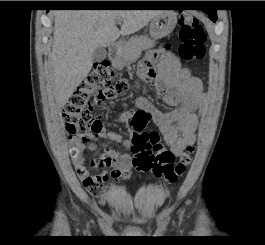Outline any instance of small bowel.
I'll return each mask as SVG.
<instances>
[{
  "label": "small bowel",
  "instance_id": "small-bowel-1",
  "mask_svg": "<svg viewBox=\"0 0 265 245\" xmlns=\"http://www.w3.org/2000/svg\"><path fill=\"white\" fill-rule=\"evenodd\" d=\"M156 67V77L150 87L161 97L163 102L175 109L167 114L156 109L147 99L140 97L136 105L143 110L151 122L156 125L164 135L171 152L179 157L188 146L196 141L198 118L196 111L205 100L204 85L200 78L191 74L183 67L180 60L173 53L157 50L148 52L141 60V64ZM132 112L126 111L120 115V120L132 132L129 119ZM98 134L113 142L122 143L126 149L132 146L131 140L123 139L116 132H106L102 127ZM84 152L94 151L96 145L86 142L81 145ZM76 172L83 188L93 196L100 195V186L109 181L117 183L131 175L132 158L129 153H120L117 150H107L100 157L85 162L81 153L75 158ZM110 168V171L104 170ZM105 187L103 191H109Z\"/></svg>",
  "mask_w": 265,
  "mask_h": 245
}]
</instances>
